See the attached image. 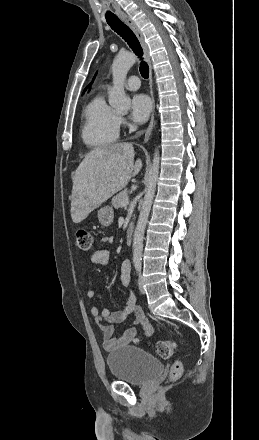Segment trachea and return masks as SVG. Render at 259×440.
<instances>
[{"label": "trachea", "instance_id": "1", "mask_svg": "<svg viewBox=\"0 0 259 440\" xmlns=\"http://www.w3.org/2000/svg\"><path fill=\"white\" fill-rule=\"evenodd\" d=\"M107 23L117 34H119L127 42L134 53L138 57L142 58L143 50L133 31L128 26H126L118 17L107 19ZM140 73L144 79H147L149 77V67L145 61H141L140 63Z\"/></svg>", "mask_w": 259, "mask_h": 440}]
</instances>
